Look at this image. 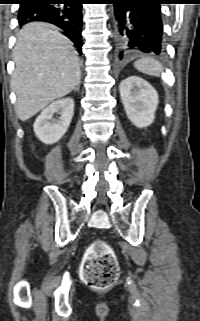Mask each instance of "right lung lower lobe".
<instances>
[{
  "instance_id": "1",
  "label": "right lung lower lobe",
  "mask_w": 200,
  "mask_h": 321,
  "mask_svg": "<svg viewBox=\"0 0 200 321\" xmlns=\"http://www.w3.org/2000/svg\"><path fill=\"white\" fill-rule=\"evenodd\" d=\"M82 3L83 0H22L18 22L20 26L35 21L54 24L64 30L81 53Z\"/></svg>"
}]
</instances>
